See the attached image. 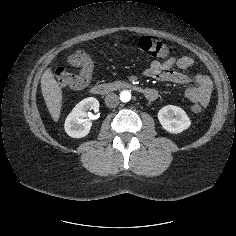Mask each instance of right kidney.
Instances as JSON below:
<instances>
[{
  "instance_id": "ca27d5eb",
  "label": "right kidney",
  "mask_w": 236,
  "mask_h": 236,
  "mask_svg": "<svg viewBox=\"0 0 236 236\" xmlns=\"http://www.w3.org/2000/svg\"><path fill=\"white\" fill-rule=\"evenodd\" d=\"M89 110L99 111V101L94 97L80 101L67 116L64 128L70 137L82 138L90 132L92 120L97 119V115L88 113Z\"/></svg>"
}]
</instances>
